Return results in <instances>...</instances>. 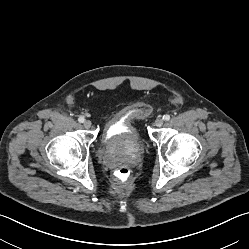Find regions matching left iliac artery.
I'll use <instances>...</instances> for the list:
<instances>
[{
    "mask_svg": "<svg viewBox=\"0 0 249 249\" xmlns=\"http://www.w3.org/2000/svg\"><path fill=\"white\" fill-rule=\"evenodd\" d=\"M163 120L169 121L170 120V115H168V114L164 115Z\"/></svg>",
    "mask_w": 249,
    "mask_h": 249,
    "instance_id": "44dca946",
    "label": "left iliac artery"
}]
</instances>
